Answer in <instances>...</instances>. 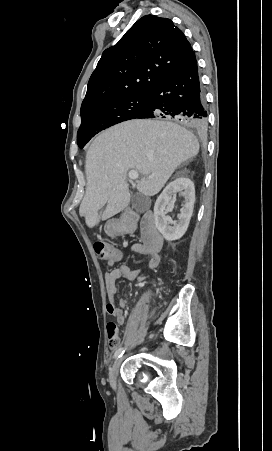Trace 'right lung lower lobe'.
Wrapping results in <instances>:
<instances>
[{"instance_id":"obj_1","label":"right lung lower lobe","mask_w":272,"mask_h":451,"mask_svg":"<svg viewBox=\"0 0 272 451\" xmlns=\"http://www.w3.org/2000/svg\"><path fill=\"white\" fill-rule=\"evenodd\" d=\"M207 116L193 53L151 90L147 109L137 118L174 119L203 132Z\"/></svg>"}]
</instances>
